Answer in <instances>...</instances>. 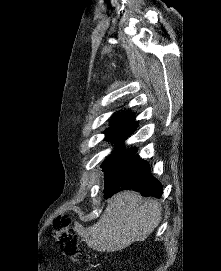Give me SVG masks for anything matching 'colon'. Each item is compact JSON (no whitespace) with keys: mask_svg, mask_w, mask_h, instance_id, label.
<instances>
[{"mask_svg":"<svg viewBox=\"0 0 221 271\" xmlns=\"http://www.w3.org/2000/svg\"><path fill=\"white\" fill-rule=\"evenodd\" d=\"M73 222V218L67 214L57 216L53 223V237L64 255L78 259L81 256L80 241Z\"/></svg>","mask_w":221,"mask_h":271,"instance_id":"1","label":"colon"}]
</instances>
